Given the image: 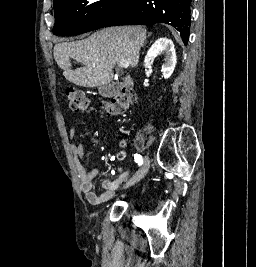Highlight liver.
I'll return each instance as SVG.
<instances>
[{
  "label": "liver",
  "instance_id": "liver-1",
  "mask_svg": "<svg viewBox=\"0 0 256 267\" xmlns=\"http://www.w3.org/2000/svg\"><path fill=\"white\" fill-rule=\"evenodd\" d=\"M145 40L146 30L142 26H115L99 30L81 42L55 44L53 56L66 80L94 88L112 82L113 68L120 62L135 68ZM70 58L81 62L83 68L72 70Z\"/></svg>",
  "mask_w": 256,
  "mask_h": 267
}]
</instances>
